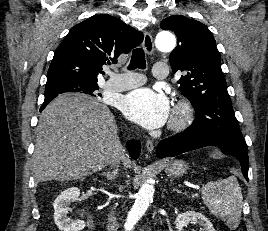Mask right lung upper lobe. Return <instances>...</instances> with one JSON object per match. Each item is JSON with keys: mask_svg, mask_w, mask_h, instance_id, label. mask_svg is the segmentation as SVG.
<instances>
[{"mask_svg": "<svg viewBox=\"0 0 268 231\" xmlns=\"http://www.w3.org/2000/svg\"><path fill=\"white\" fill-rule=\"evenodd\" d=\"M143 40V34L122 20L102 14L75 25L54 53L46 85L62 81L97 85L105 64L116 63ZM52 99L46 98V106Z\"/></svg>", "mask_w": 268, "mask_h": 231, "instance_id": "1", "label": "right lung upper lobe"}]
</instances>
